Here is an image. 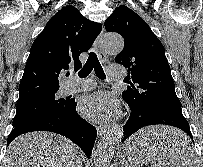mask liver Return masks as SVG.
<instances>
[{"instance_id": "6515ba94", "label": "liver", "mask_w": 203, "mask_h": 167, "mask_svg": "<svg viewBox=\"0 0 203 167\" xmlns=\"http://www.w3.org/2000/svg\"><path fill=\"white\" fill-rule=\"evenodd\" d=\"M182 132L169 127H151L132 136V147L138 142L154 138L163 144L166 156L172 157L178 148L177 138ZM78 147L70 140L49 132H31L17 137L8 147L2 167H81Z\"/></svg>"}]
</instances>
